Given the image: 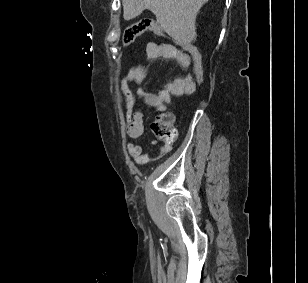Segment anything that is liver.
Listing matches in <instances>:
<instances>
[{"label":"liver","mask_w":308,"mask_h":283,"mask_svg":"<svg viewBox=\"0 0 308 283\" xmlns=\"http://www.w3.org/2000/svg\"><path fill=\"white\" fill-rule=\"evenodd\" d=\"M209 0H122L123 17L129 21L150 10L161 28L179 44L196 40V16Z\"/></svg>","instance_id":"1"}]
</instances>
